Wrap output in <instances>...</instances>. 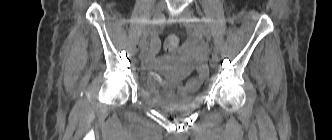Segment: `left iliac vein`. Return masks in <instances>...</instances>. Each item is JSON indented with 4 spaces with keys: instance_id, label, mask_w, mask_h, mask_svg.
Segmentation results:
<instances>
[{
    "instance_id": "4c4485c4",
    "label": "left iliac vein",
    "mask_w": 332,
    "mask_h": 140,
    "mask_svg": "<svg viewBox=\"0 0 332 140\" xmlns=\"http://www.w3.org/2000/svg\"><path fill=\"white\" fill-rule=\"evenodd\" d=\"M182 19L185 24V26L189 30H195V24L194 22V13L193 10L190 9L189 7L185 8L183 13H182ZM210 65L212 68L216 67L217 61L213 58L210 59Z\"/></svg>"
}]
</instances>
